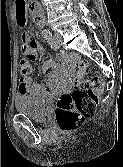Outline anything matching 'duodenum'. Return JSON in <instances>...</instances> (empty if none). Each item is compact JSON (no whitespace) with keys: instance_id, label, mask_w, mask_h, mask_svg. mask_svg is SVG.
<instances>
[{"instance_id":"1","label":"duodenum","mask_w":123,"mask_h":167,"mask_svg":"<svg viewBox=\"0 0 123 167\" xmlns=\"http://www.w3.org/2000/svg\"><path fill=\"white\" fill-rule=\"evenodd\" d=\"M29 8L37 21V27L42 29L44 26V16L42 12L38 10L36 0H29Z\"/></svg>"}]
</instances>
